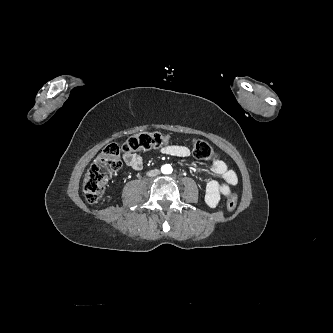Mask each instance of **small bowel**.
I'll use <instances>...</instances> for the list:
<instances>
[{"instance_id": "1", "label": "small bowel", "mask_w": 333, "mask_h": 333, "mask_svg": "<svg viewBox=\"0 0 333 333\" xmlns=\"http://www.w3.org/2000/svg\"><path fill=\"white\" fill-rule=\"evenodd\" d=\"M161 153L180 158H187L191 155L189 148L182 145H166L161 149ZM124 161L133 170L143 168V160L136 153L124 154ZM210 170L215 176L222 179V182L210 180L206 185L205 202L209 207L215 208L218 206L221 197L229 195L230 188L237 184L238 177L236 172L220 159L211 163Z\"/></svg>"}]
</instances>
